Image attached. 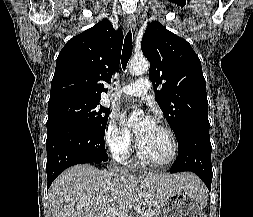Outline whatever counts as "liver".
<instances>
[{"label": "liver", "mask_w": 253, "mask_h": 217, "mask_svg": "<svg viewBox=\"0 0 253 217\" xmlns=\"http://www.w3.org/2000/svg\"><path fill=\"white\" fill-rule=\"evenodd\" d=\"M176 189L206 194L202 181L192 173L133 176L79 164L52 183L49 202L52 217H125L135 203L158 207Z\"/></svg>", "instance_id": "liver-1"}]
</instances>
